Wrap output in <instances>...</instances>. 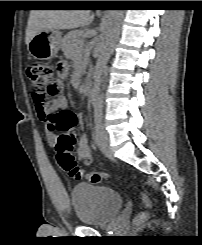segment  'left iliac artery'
Wrapping results in <instances>:
<instances>
[{
  "mask_svg": "<svg viewBox=\"0 0 202 245\" xmlns=\"http://www.w3.org/2000/svg\"><path fill=\"white\" fill-rule=\"evenodd\" d=\"M102 121V106L101 104H95L94 106V122H95V128L101 124Z\"/></svg>",
  "mask_w": 202,
  "mask_h": 245,
  "instance_id": "obj_1",
  "label": "left iliac artery"
}]
</instances>
